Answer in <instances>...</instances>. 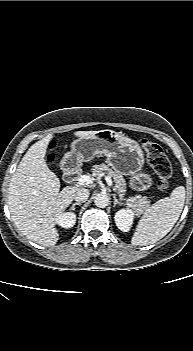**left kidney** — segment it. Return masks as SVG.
<instances>
[{
  "instance_id": "left-kidney-1",
  "label": "left kidney",
  "mask_w": 193,
  "mask_h": 351,
  "mask_svg": "<svg viewBox=\"0 0 193 351\" xmlns=\"http://www.w3.org/2000/svg\"><path fill=\"white\" fill-rule=\"evenodd\" d=\"M135 212L132 209H120L115 214L116 226L123 232H128L133 224Z\"/></svg>"
}]
</instances>
